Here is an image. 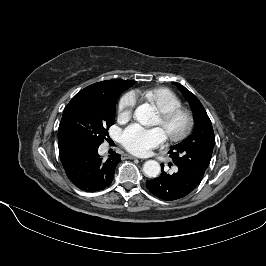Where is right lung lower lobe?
<instances>
[{
	"instance_id": "1",
	"label": "right lung lower lobe",
	"mask_w": 266,
	"mask_h": 266,
	"mask_svg": "<svg viewBox=\"0 0 266 266\" xmlns=\"http://www.w3.org/2000/svg\"><path fill=\"white\" fill-rule=\"evenodd\" d=\"M99 145L59 148L64 170L79 189L96 192L108 187L114 177L120 155L113 153L107 160L98 154Z\"/></svg>"
}]
</instances>
